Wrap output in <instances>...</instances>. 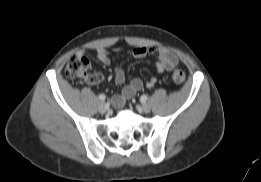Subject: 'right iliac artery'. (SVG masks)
<instances>
[{"label":"right iliac artery","instance_id":"obj_1","mask_svg":"<svg viewBox=\"0 0 261 182\" xmlns=\"http://www.w3.org/2000/svg\"><path fill=\"white\" fill-rule=\"evenodd\" d=\"M99 99H100L101 101H105V100H106V96H105L104 94H100V95H99Z\"/></svg>","mask_w":261,"mask_h":182}]
</instances>
